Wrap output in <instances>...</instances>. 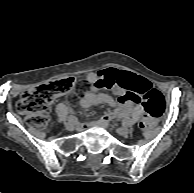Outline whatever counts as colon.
<instances>
[{"label":"colon","mask_w":194,"mask_h":193,"mask_svg":"<svg viewBox=\"0 0 194 193\" xmlns=\"http://www.w3.org/2000/svg\"><path fill=\"white\" fill-rule=\"evenodd\" d=\"M115 83L133 93L123 99L143 101L147 112V119L143 126L145 131H149L152 128L153 119L159 117L164 111L165 102L162 94L152 86L137 92V81L131 75H118L114 80L108 81L106 87H111ZM77 85L78 81L69 77L30 88L21 95L16 105L17 111L29 126L43 129L49 124V107L55 97L71 94Z\"/></svg>","instance_id":"obj_1"}]
</instances>
